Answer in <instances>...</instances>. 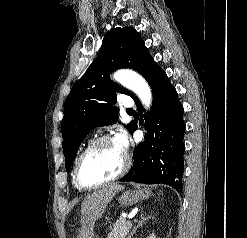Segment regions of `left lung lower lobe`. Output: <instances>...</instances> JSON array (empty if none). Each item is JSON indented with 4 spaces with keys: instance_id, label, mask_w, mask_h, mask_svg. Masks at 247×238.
Listing matches in <instances>:
<instances>
[{
    "instance_id": "0a47b994",
    "label": "left lung lower lobe",
    "mask_w": 247,
    "mask_h": 238,
    "mask_svg": "<svg viewBox=\"0 0 247 238\" xmlns=\"http://www.w3.org/2000/svg\"><path fill=\"white\" fill-rule=\"evenodd\" d=\"M147 82L153 92V107L146 117L148 133L134 149L133 167L120 181L164 183L182 190L185 151L182 137L186 128L184 109L175 88L159 66L151 72ZM134 100L138 111L142 112L139 99ZM136 129L134 123L131 133Z\"/></svg>"
}]
</instances>
